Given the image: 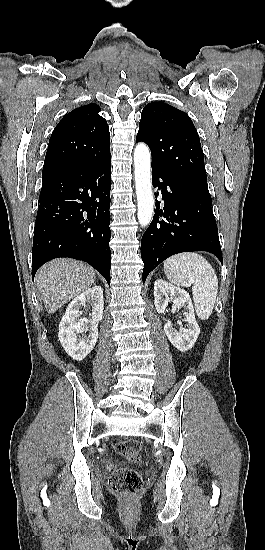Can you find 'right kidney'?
Wrapping results in <instances>:
<instances>
[{
	"label": "right kidney",
	"instance_id": "right-kidney-1",
	"mask_svg": "<svg viewBox=\"0 0 265 550\" xmlns=\"http://www.w3.org/2000/svg\"><path fill=\"white\" fill-rule=\"evenodd\" d=\"M91 304L90 318H80L81 308ZM104 309L103 289L94 286L77 296L68 305L59 324V341L66 353L74 360L82 361L94 348L98 339V323L102 320ZM84 331L88 335L80 336Z\"/></svg>",
	"mask_w": 265,
	"mask_h": 550
}]
</instances>
